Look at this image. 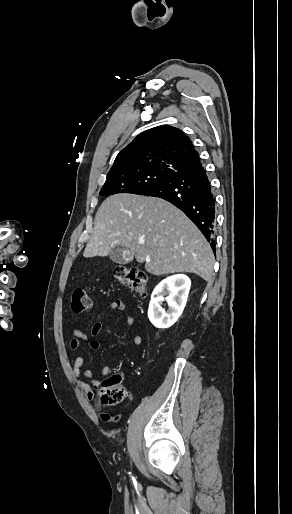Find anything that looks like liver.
<instances>
[{
    "label": "liver",
    "instance_id": "6515ba94",
    "mask_svg": "<svg viewBox=\"0 0 292 514\" xmlns=\"http://www.w3.org/2000/svg\"><path fill=\"white\" fill-rule=\"evenodd\" d=\"M123 246L155 276L193 272L206 282L213 274L214 254L195 224L161 198L114 194L101 204L84 258L108 256ZM148 260V262H147Z\"/></svg>",
    "mask_w": 292,
    "mask_h": 514
}]
</instances>
